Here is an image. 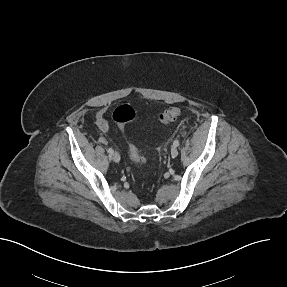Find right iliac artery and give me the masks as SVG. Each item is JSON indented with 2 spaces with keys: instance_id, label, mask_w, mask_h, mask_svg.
Segmentation results:
<instances>
[{
  "instance_id": "82829eb1",
  "label": "right iliac artery",
  "mask_w": 287,
  "mask_h": 287,
  "mask_svg": "<svg viewBox=\"0 0 287 287\" xmlns=\"http://www.w3.org/2000/svg\"><path fill=\"white\" fill-rule=\"evenodd\" d=\"M107 152L109 153V155L111 156V155H113V149L112 148H109L108 150H107Z\"/></svg>"
}]
</instances>
